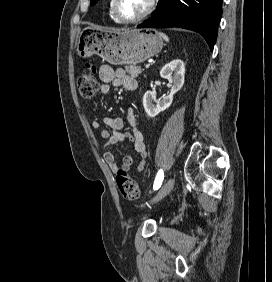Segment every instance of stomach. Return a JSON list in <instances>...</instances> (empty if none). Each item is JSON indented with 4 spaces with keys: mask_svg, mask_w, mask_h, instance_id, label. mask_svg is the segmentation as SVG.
Returning <instances> with one entry per match:
<instances>
[{
    "mask_svg": "<svg viewBox=\"0 0 272 282\" xmlns=\"http://www.w3.org/2000/svg\"><path fill=\"white\" fill-rule=\"evenodd\" d=\"M162 47V37L152 29L87 27L76 51L80 58L96 54L113 65H136L159 53Z\"/></svg>",
    "mask_w": 272,
    "mask_h": 282,
    "instance_id": "stomach-1",
    "label": "stomach"
}]
</instances>
